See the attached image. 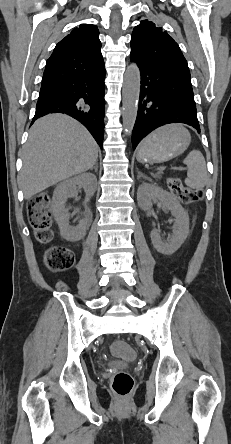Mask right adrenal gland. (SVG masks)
<instances>
[{
    "label": "right adrenal gland",
    "mask_w": 231,
    "mask_h": 444,
    "mask_svg": "<svg viewBox=\"0 0 231 444\" xmlns=\"http://www.w3.org/2000/svg\"><path fill=\"white\" fill-rule=\"evenodd\" d=\"M95 170V172H97L98 171V163L96 162L95 163V165H94V167H92L90 170Z\"/></svg>",
    "instance_id": "1"
}]
</instances>
